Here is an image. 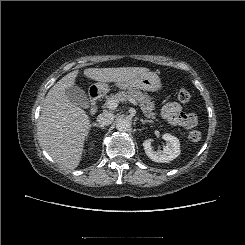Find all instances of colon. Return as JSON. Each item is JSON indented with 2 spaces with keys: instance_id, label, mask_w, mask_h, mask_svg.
I'll list each match as a JSON object with an SVG mask.
<instances>
[{
  "instance_id": "colon-1",
  "label": "colon",
  "mask_w": 245,
  "mask_h": 245,
  "mask_svg": "<svg viewBox=\"0 0 245 245\" xmlns=\"http://www.w3.org/2000/svg\"><path fill=\"white\" fill-rule=\"evenodd\" d=\"M191 99V93L189 90L185 89V88H182L179 90L178 92V100L181 102V103H187L189 102V100ZM190 141L192 142H198L200 141L201 137H202V134L199 130H191L189 132V135H188Z\"/></svg>"
}]
</instances>
